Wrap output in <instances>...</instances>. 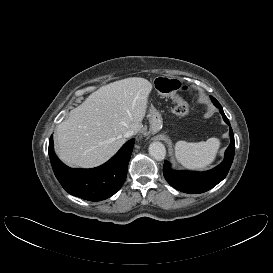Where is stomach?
Masks as SVG:
<instances>
[{"instance_id":"1","label":"stomach","mask_w":273,"mask_h":273,"mask_svg":"<svg viewBox=\"0 0 273 273\" xmlns=\"http://www.w3.org/2000/svg\"><path fill=\"white\" fill-rule=\"evenodd\" d=\"M155 90L164 97H170L176 94L177 90L174 87V82L167 76H158L154 79ZM148 117L150 119L151 130L157 132L162 127V117L158 110L151 105L149 108Z\"/></svg>"}]
</instances>
